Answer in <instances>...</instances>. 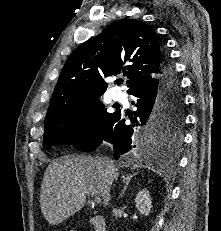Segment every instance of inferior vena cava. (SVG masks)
I'll return each instance as SVG.
<instances>
[{"instance_id": "obj_1", "label": "inferior vena cava", "mask_w": 221, "mask_h": 231, "mask_svg": "<svg viewBox=\"0 0 221 231\" xmlns=\"http://www.w3.org/2000/svg\"><path fill=\"white\" fill-rule=\"evenodd\" d=\"M100 161L106 166V169L109 171L110 173V181H109V185L111 186L113 184L114 181V172H115V168H114V164L111 160H109L108 158H102L100 159Z\"/></svg>"}]
</instances>
